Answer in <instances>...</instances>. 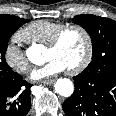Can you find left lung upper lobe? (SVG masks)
<instances>
[{
    "instance_id": "1",
    "label": "left lung upper lobe",
    "mask_w": 116,
    "mask_h": 116,
    "mask_svg": "<svg viewBox=\"0 0 116 116\" xmlns=\"http://www.w3.org/2000/svg\"><path fill=\"white\" fill-rule=\"evenodd\" d=\"M73 23L82 26L90 35L93 45L92 61L82 74L93 76L116 72V22L91 14L77 15Z\"/></svg>"
}]
</instances>
